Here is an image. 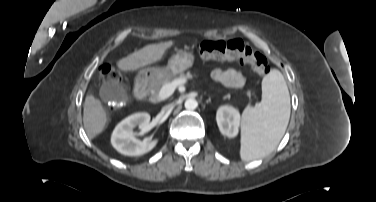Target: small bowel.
<instances>
[{
    "mask_svg": "<svg viewBox=\"0 0 376 202\" xmlns=\"http://www.w3.org/2000/svg\"><path fill=\"white\" fill-rule=\"evenodd\" d=\"M212 77L214 80L230 87H239L245 82V77L234 69H215L212 72Z\"/></svg>",
    "mask_w": 376,
    "mask_h": 202,
    "instance_id": "1",
    "label": "small bowel"
}]
</instances>
